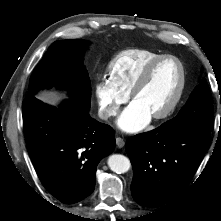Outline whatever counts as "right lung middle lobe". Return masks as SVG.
Returning a JSON list of instances; mask_svg holds the SVG:
<instances>
[{
  "mask_svg": "<svg viewBox=\"0 0 221 221\" xmlns=\"http://www.w3.org/2000/svg\"><path fill=\"white\" fill-rule=\"evenodd\" d=\"M85 44L82 39L54 42L31 75L28 96L40 89L56 86L66 88L73 99L89 108L91 86L83 66Z\"/></svg>",
  "mask_w": 221,
  "mask_h": 221,
  "instance_id": "right-lung-middle-lobe-1",
  "label": "right lung middle lobe"
}]
</instances>
